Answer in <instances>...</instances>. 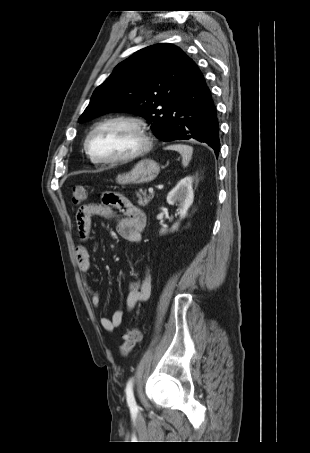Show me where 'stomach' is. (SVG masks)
<instances>
[{
	"mask_svg": "<svg viewBox=\"0 0 310 453\" xmlns=\"http://www.w3.org/2000/svg\"><path fill=\"white\" fill-rule=\"evenodd\" d=\"M160 172L159 164L152 159L139 161L129 172L119 174L116 178L118 184H144L153 181Z\"/></svg>",
	"mask_w": 310,
	"mask_h": 453,
	"instance_id": "obj_1",
	"label": "stomach"
}]
</instances>
